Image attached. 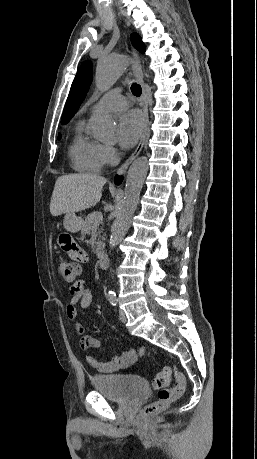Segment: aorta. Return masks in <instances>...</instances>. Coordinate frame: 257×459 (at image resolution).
I'll list each match as a JSON object with an SVG mask.
<instances>
[{
    "label": "aorta",
    "mask_w": 257,
    "mask_h": 459,
    "mask_svg": "<svg viewBox=\"0 0 257 459\" xmlns=\"http://www.w3.org/2000/svg\"><path fill=\"white\" fill-rule=\"evenodd\" d=\"M127 59L115 55L101 61L96 69L95 84L98 90L107 91L120 78L126 69ZM115 121L104 113L95 114L90 119L91 134L102 142L112 141L115 137ZM148 160L140 157L131 164L126 178L125 195L111 227L110 248H115L125 236L132 214L134 213L144 180L148 172Z\"/></svg>",
    "instance_id": "1"
}]
</instances>
